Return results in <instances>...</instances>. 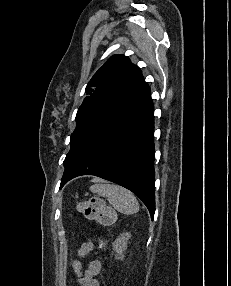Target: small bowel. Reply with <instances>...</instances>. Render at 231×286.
Segmentation results:
<instances>
[{
  "label": "small bowel",
  "instance_id": "c3829d8e",
  "mask_svg": "<svg viewBox=\"0 0 231 286\" xmlns=\"http://www.w3.org/2000/svg\"><path fill=\"white\" fill-rule=\"evenodd\" d=\"M91 252L96 253V250L93 241L88 240L81 245L78 255L79 257H85ZM72 268L83 286H100L98 280L95 278L102 268V264L98 259L92 260L85 270L79 260H74Z\"/></svg>",
  "mask_w": 231,
  "mask_h": 286
}]
</instances>
